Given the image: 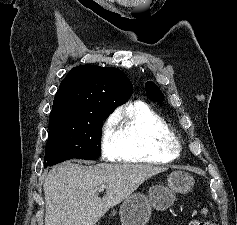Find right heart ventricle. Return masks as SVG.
I'll return each instance as SVG.
<instances>
[{
	"label": "right heart ventricle",
	"instance_id": "1",
	"mask_svg": "<svg viewBox=\"0 0 237 225\" xmlns=\"http://www.w3.org/2000/svg\"><path fill=\"white\" fill-rule=\"evenodd\" d=\"M116 130V161L158 164L176 159V154L165 147L174 136L170 126L144 102L135 101L118 116Z\"/></svg>",
	"mask_w": 237,
	"mask_h": 225
}]
</instances>
